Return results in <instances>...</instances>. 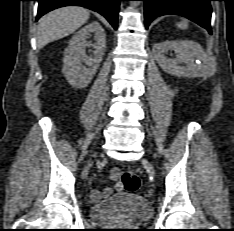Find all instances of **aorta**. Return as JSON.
Masks as SVG:
<instances>
[{
  "mask_svg": "<svg viewBox=\"0 0 234 231\" xmlns=\"http://www.w3.org/2000/svg\"><path fill=\"white\" fill-rule=\"evenodd\" d=\"M139 3H140L139 1H132L131 5L134 6V7H136V6L139 5Z\"/></svg>",
  "mask_w": 234,
  "mask_h": 231,
  "instance_id": "obj_1",
  "label": "aorta"
}]
</instances>
